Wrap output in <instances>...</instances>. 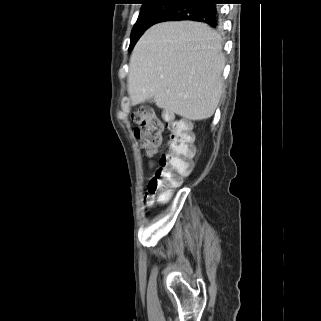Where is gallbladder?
Masks as SVG:
<instances>
[{
  "label": "gallbladder",
  "instance_id": "1",
  "mask_svg": "<svg viewBox=\"0 0 321 321\" xmlns=\"http://www.w3.org/2000/svg\"><path fill=\"white\" fill-rule=\"evenodd\" d=\"M147 102H148V103H152V102H153V99H152V98L147 99Z\"/></svg>",
  "mask_w": 321,
  "mask_h": 321
}]
</instances>
